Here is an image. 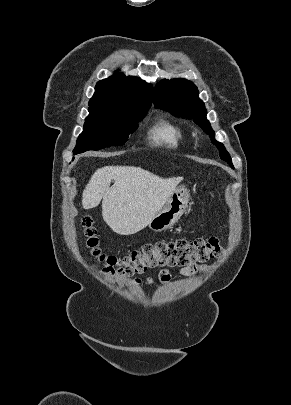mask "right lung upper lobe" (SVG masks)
<instances>
[{"label":"right lung upper lobe","instance_id":"right-lung-upper-lobe-1","mask_svg":"<svg viewBox=\"0 0 291 405\" xmlns=\"http://www.w3.org/2000/svg\"><path fill=\"white\" fill-rule=\"evenodd\" d=\"M152 104V85L140 78L122 73L99 81L95 94L89 101V109L138 110Z\"/></svg>","mask_w":291,"mask_h":405}]
</instances>
